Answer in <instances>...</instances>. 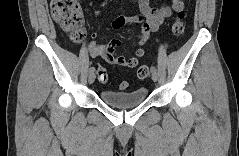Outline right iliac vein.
Listing matches in <instances>:
<instances>
[{
  "mask_svg": "<svg viewBox=\"0 0 239 156\" xmlns=\"http://www.w3.org/2000/svg\"><path fill=\"white\" fill-rule=\"evenodd\" d=\"M95 73L94 72H89V75H88V82L89 84H92L94 81H95Z\"/></svg>",
  "mask_w": 239,
  "mask_h": 156,
  "instance_id": "1",
  "label": "right iliac vein"
}]
</instances>
